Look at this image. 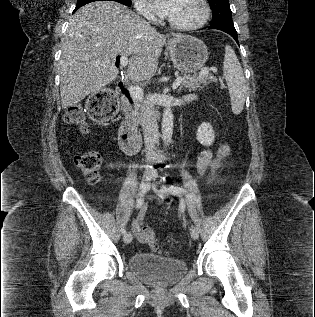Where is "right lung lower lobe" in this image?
<instances>
[{
	"label": "right lung lower lobe",
	"instance_id": "98d812e1",
	"mask_svg": "<svg viewBox=\"0 0 315 317\" xmlns=\"http://www.w3.org/2000/svg\"><path fill=\"white\" fill-rule=\"evenodd\" d=\"M80 7H81V6H76L74 12H75L76 10H78Z\"/></svg>",
	"mask_w": 315,
	"mask_h": 317
}]
</instances>
